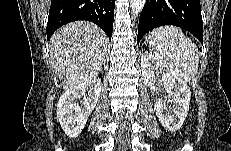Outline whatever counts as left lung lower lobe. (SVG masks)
I'll list each match as a JSON object with an SVG mask.
<instances>
[{"label": "left lung lower lobe", "mask_w": 231, "mask_h": 151, "mask_svg": "<svg viewBox=\"0 0 231 151\" xmlns=\"http://www.w3.org/2000/svg\"><path fill=\"white\" fill-rule=\"evenodd\" d=\"M163 25L187 30L203 44L200 0H146L139 19L137 43L147 32Z\"/></svg>", "instance_id": "obj_1"}]
</instances>
